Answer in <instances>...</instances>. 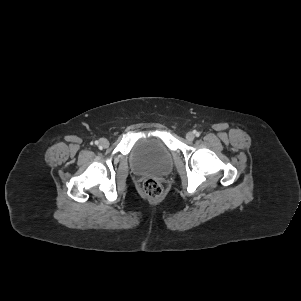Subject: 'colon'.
<instances>
[{"instance_id": "1", "label": "colon", "mask_w": 301, "mask_h": 301, "mask_svg": "<svg viewBox=\"0 0 301 301\" xmlns=\"http://www.w3.org/2000/svg\"><path fill=\"white\" fill-rule=\"evenodd\" d=\"M143 192L150 199H158L164 192V187L157 179L148 178L143 182Z\"/></svg>"}]
</instances>
